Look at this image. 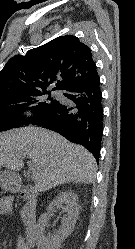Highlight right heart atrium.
<instances>
[{"label":"right heart atrium","mask_w":135,"mask_h":249,"mask_svg":"<svg viewBox=\"0 0 135 249\" xmlns=\"http://www.w3.org/2000/svg\"><path fill=\"white\" fill-rule=\"evenodd\" d=\"M22 115L27 118L31 115V113L29 111H23Z\"/></svg>","instance_id":"obj_1"}]
</instances>
